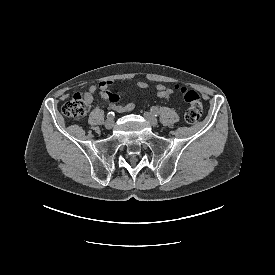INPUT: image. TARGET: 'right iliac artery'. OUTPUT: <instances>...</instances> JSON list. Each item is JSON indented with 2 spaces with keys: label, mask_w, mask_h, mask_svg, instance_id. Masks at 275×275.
Returning <instances> with one entry per match:
<instances>
[{
  "label": "right iliac artery",
  "mask_w": 275,
  "mask_h": 275,
  "mask_svg": "<svg viewBox=\"0 0 275 275\" xmlns=\"http://www.w3.org/2000/svg\"><path fill=\"white\" fill-rule=\"evenodd\" d=\"M113 116H114V112H109L107 115V117H109V118H113Z\"/></svg>",
  "instance_id": "right-iliac-artery-1"
}]
</instances>
